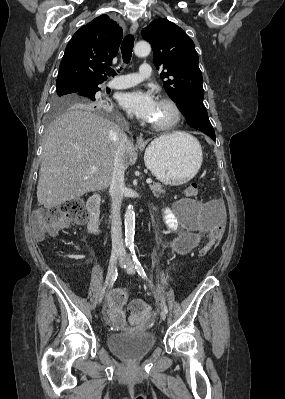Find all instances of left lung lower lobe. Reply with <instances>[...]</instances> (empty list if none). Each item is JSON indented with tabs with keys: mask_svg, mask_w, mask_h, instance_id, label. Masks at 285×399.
<instances>
[{
	"mask_svg": "<svg viewBox=\"0 0 285 399\" xmlns=\"http://www.w3.org/2000/svg\"><path fill=\"white\" fill-rule=\"evenodd\" d=\"M210 137L215 140V134L214 135H210Z\"/></svg>",
	"mask_w": 285,
	"mask_h": 399,
	"instance_id": "1",
	"label": "left lung lower lobe"
}]
</instances>
